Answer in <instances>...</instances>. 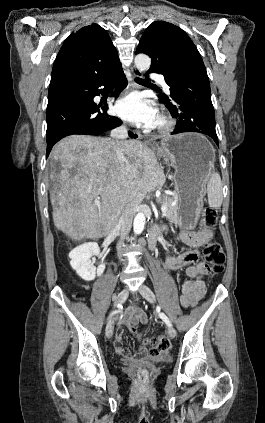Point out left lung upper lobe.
Masks as SVG:
<instances>
[{"mask_svg":"<svg viewBox=\"0 0 265 423\" xmlns=\"http://www.w3.org/2000/svg\"><path fill=\"white\" fill-rule=\"evenodd\" d=\"M136 53L151 57L149 71L167 72L185 60L200 56L189 36L178 26L156 21L145 30Z\"/></svg>","mask_w":265,"mask_h":423,"instance_id":"left-lung-upper-lobe-1","label":"left lung upper lobe"}]
</instances>
